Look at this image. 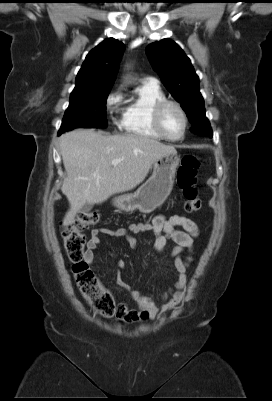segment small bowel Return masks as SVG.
Instances as JSON below:
<instances>
[{
  "instance_id": "1",
  "label": "small bowel",
  "mask_w": 272,
  "mask_h": 401,
  "mask_svg": "<svg viewBox=\"0 0 272 401\" xmlns=\"http://www.w3.org/2000/svg\"><path fill=\"white\" fill-rule=\"evenodd\" d=\"M143 233L154 235L153 247L159 253L165 251L169 240L175 243V247L169 253V256L174 259L175 282L173 287L163 294V304L159 308L154 303L147 301L138 290L132 289L123 281L120 273L126 267V263L123 260H117L115 264L116 281L119 286L129 292L137 305L136 309H131L126 304H120L122 312L118 318L124 322H143L161 312L174 308L181 302L187 282L186 271L188 263L191 261L190 256L183 258L182 255L193 250L194 239L198 236L199 230L192 219L180 214H174L170 217L159 214L150 222L132 223L127 227L95 228L91 231L84 260L87 264L93 263L95 251L101 242V235L126 239L132 247H136L138 241L134 235Z\"/></svg>"
}]
</instances>
